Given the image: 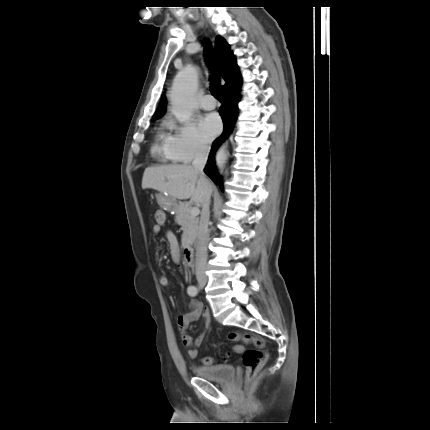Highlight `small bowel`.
Instances as JSON below:
<instances>
[{"label": "small bowel", "mask_w": 430, "mask_h": 430, "mask_svg": "<svg viewBox=\"0 0 430 430\" xmlns=\"http://www.w3.org/2000/svg\"><path fill=\"white\" fill-rule=\"evenodd\" d=\"M152 232L156 235L160 234L161 226L154 225L152 227ZM166 238L169 244V251L172 259L175 262H179L180 253H179V245L176 236L168 231L166 233ZM185 276L188 275V271L184 270ZM159 283L163 287L169 286L170 282L167 276L162 275L159 278ZM201 315L204 317V322L206 328L210 325L209 315L206 311H204L202 304L199 301H192L190 304V310L188 313L180 315L177 319V325L181 331V341L183 346L187 349L188 356L190 358H196L198 356V348L201 347L205 340V333H201L194 341L191 336L186 333V329L190 323L198 320ZM236 349L242 350V346H235Z\"/></svg>", "instance_id": "c3829d8e"}]
</instances>
